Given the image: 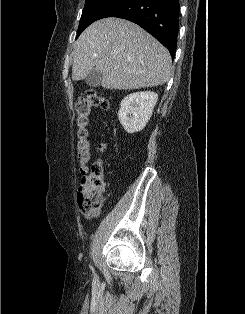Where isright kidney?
<instances>
[{
    "mask_svg": "<svg viewBox=\"0 0 245 314\" xmlns=\"http://www.w3.org/2000/svg\"><path fill=\"white\" fill-rule=\"evenodd\" d=\"M158 95L151 91L136 92L126 96L120 103L118 119L127 133L139 132L148 123Z\"/></svg>",
    "mask_w": 245,
    "mask_h": 314,
    "instance_id": "obj_1",
    "label": "right kidney"
}]
</instances>
